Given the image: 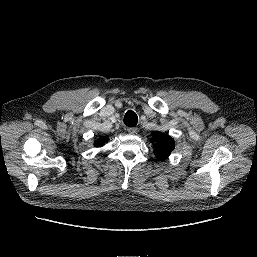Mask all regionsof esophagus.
I'll return each mask as SVG.
<instances>
[{"mask_svg": "<svg viewBox=\"0 0 257 257\" xmlns=\"http://www.w3.org/2000/svg\"><path fill=\"white\" fill-rule=\"evenodd\" d=\"M127 132L129 134H135L137 132V128L136 127H128Z\"/></svg>", "mask_w": 257, "mask_h": 257, "instance_id": "esophagus-1", "label": "esophagus"}]
</instances>
